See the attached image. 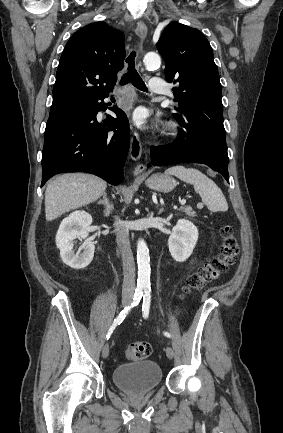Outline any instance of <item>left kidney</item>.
Instances as JSON below:
<instances>
[{
    "label": "left kidney",
    "mask_w": 283,
    "mask_h": 433,
    "mask_svg": "<svg viewBox=\"0 0 283 433\" xmlns=\"http://www.w3.org/2000/svg\"><path fill=\"white\" fill-rule=\"evenodd\" d=\"M198 229L189 220L179 219L168 239V247L173 259L186 261L192 254L198 241Z\"/></svg>",
    "instance_id": "obj_1"
}]
</instances>
